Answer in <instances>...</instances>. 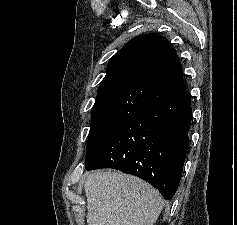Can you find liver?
Listing matches in <instances>:
<instances>
[{
  "mask_svg": "<svg viewBox=\"0 0 237 225\" xmlns=\"http://www.w3.org/2000/svg\"><path fill=\"white\" fill-rule=\"evenodd\" d=\"M84 190L87 225H153L164 207L158 190L121 172L91 173Z\"/></svg>",
  "mask_w": 237,
  "mask_h": 225,
  "instance_id": "obj_1",
  "label": "liver"
}]
</instances>
